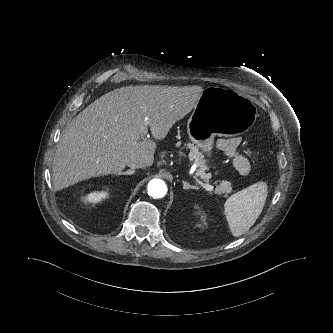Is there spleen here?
<instances>
[{"instance_id": "1", "label": "spleen", "mask_w": 333, "mask_h": 333, "mask_svg": "<svg viewBox=\"0 0 333 333\" xmlns=\"http://www.w3.org/2000/svg\"><path fill=\"white\" fill-rule=\"evenodd\" d=\"M266 182L259 181L231 195L224 204V213L233 236L244 234L259 217L268 194Z\"/></svg>"}]
</instances>
